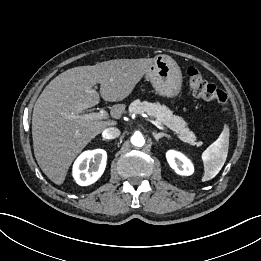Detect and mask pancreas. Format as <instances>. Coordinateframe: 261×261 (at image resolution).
I'll use <instances>...</instances> for the list:
<instances>
[{"mask_svg": "<svg viewBox=\"0 0 261 261\" xmlns=\"http://www.w3.org/2000/svg\"><path fill=\"white\" fill-rule=\"evenodd\" d=\"M129 112L135 114L147 113L178 134L183 142L197 147L203 144L201 141H197L195 134L187 127V123L181 117L173 115L172 111L164 105L135 100L130 104Z\"/></svg>", "mask_w": 261, "mask_h": 261, "instance_id": "obj_1", "label": "pancreas"}]
</instances>
